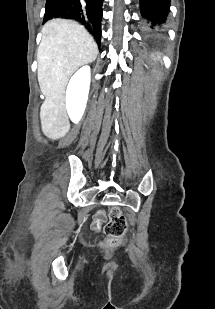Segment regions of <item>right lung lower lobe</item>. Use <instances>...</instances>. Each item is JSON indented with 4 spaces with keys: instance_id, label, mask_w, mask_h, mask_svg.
Segmentation results:
<instances>
[{
    "instance_id": "right-lung-lower-lobe-1",
    "label": "right lung lower lobe",
    "mask_w": 215,
    "mask_h": 309,
    "mask_svg": "<svg viewBox=\"0 0 215 309\" xmlns=\"http://www.w3.org/2000/svg\"><path fill=\"white\" fill-rule=\"evenodd\" d=\"M103 0H46L44 21L64 18L78 21L100 46Z\"/></svg>"
}]
</instances>
